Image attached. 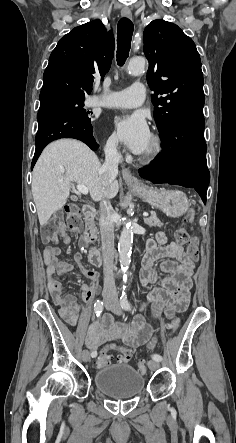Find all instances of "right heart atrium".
Listing matches in <instances>:
<instances>
[{
  "label": "right heart atrium",
  "mask_w": 236,
  "mask_h": 443,
  "mask_svg": "<svg viewBox=\"0 0 236 443\" xmlns=\"http://www.w3.org/2000/svg\"><path fill=\"white\" fill-rule=\"evenodd\" d=\"M106 150L108 153H115L117 150V144L114 138H109L106 144Z\"/></svg>",
  "instance_id": "1"
}]
</instances>
